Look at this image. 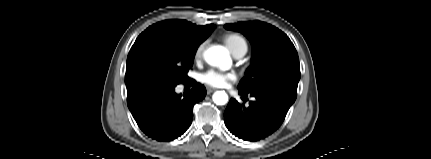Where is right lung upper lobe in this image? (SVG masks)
<instances>
[{
  "mask_svg": "<svg viewBox=\"0 0 431 159\" xmlns=\"http://www.w3.org/2000/svg\"><path fill=\"white\" fill-rule=\"evenodd\" d=\"M214 30L212 24L206 26H197L186 20L172 19L165 20L148 27L144 32H156L178 38L184 42L192 44H201ZM127 91L135 88L132 85H126Z\"/></svg>",
  "mask_w": 431,
  "mask_h": 159,
  "instance_id": "obj_1",
  "label": "right lung upper lobe"
}]
</instances>
